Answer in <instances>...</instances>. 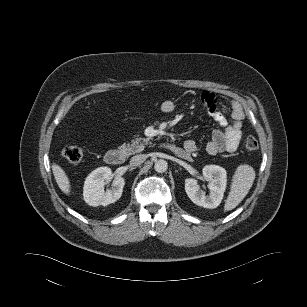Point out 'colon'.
I'll return each mask as SVG.
<instances>
[{"label": "colon", "instance_id": "obj_1", "mask_svg": "<svg viewBox=\"0 0 307 307\" xmlns=\"http://www.w3.org/2000/svg\"><path fill=\"white\" fill-rule=\"evenodd\" d=\"M245 148L248 152H254L258 149V141L255 137L249 136L245 141ZM62 156L70 163L76 164L83 157V150L78 146H66L62 150Z\"/></svg>", "mask_w": 307, "mask_h": 307}]
</instances>
